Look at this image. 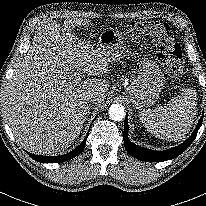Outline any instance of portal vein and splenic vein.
<instances>
[{"label": "portal vein and splenic vein", "instance_id": "1", "mask_svg": "<svg viewBox=\"0 0 206 206\" xmlns=\"http://www.w3.org/2000/svg\"><path fill=\"white\" fill-rule=\"evenodd\" d=\"M74 77L76 80H81V78L83 77V75L81 74V72L79 70H77L75 73H74Z\"/></svg>", "mask_w": 206, "mask_h": 206}]
</instances>
